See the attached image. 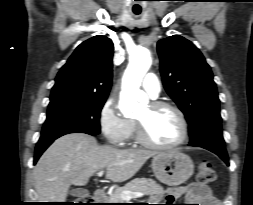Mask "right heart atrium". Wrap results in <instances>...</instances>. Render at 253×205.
Here are the masks:
<instances>
[{"label": "right heart atrium", "mask_w": 253, "mask_h": 205, "mask_svg": "<svg viewBox=\"0 0 253 205\" xmlns=\"http://www.w3.org/2000/svg\"><path fill=\"white\" fill-rule=\"evenodd\" d=\"M98 122L104 138L111 145L121 146L130 136L132 121L119 113L112 98H108L101 106Z\"/></svg>", "instance_id": "obj_1"}]
</instances>
